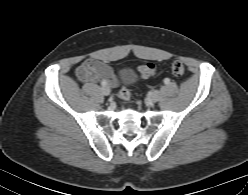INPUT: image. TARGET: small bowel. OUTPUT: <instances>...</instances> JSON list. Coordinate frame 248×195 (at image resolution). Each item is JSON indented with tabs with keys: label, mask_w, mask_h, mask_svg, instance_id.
I'll return each mask as SVG.
<instances>
[{
	"label": "small bowel",
	"mask_w": 248,
	"mask_h": 195,
	"mask_svg": "<svg viewBox=\"0 0 248 195\" xmlns=\"http://www.w3.org/2000/svg\"><path fill=\"white\" fill-rule=\"evenodd\" d=\"M76 78L83 83L105 81L111 87H116L118 78L113 69L105 62L97 59H87L75 71Z\"/></svg>",
	"instance_id": "c3829d8e"
}]
</instances>
